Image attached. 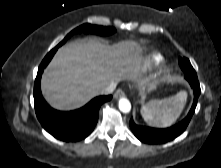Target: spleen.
<instances>
[{
    "label": "spleen",
    "mask_w": 221,
    "mask_h": 168,
    "mask_svg": "<svg viewBox=\"0 0 221 168\" xmlns=\"http://www.w3.org/2000/svg\"><path fill=\"white\" fill-rule=\"evenodd\" d=\"M186 99L187 93L180 91L175 96L159 101H151L142 106L141 115L150 125L168 127L180 116Z\"/></svg>",
    "instance_id": "3e777b00"
}]
</instances>
